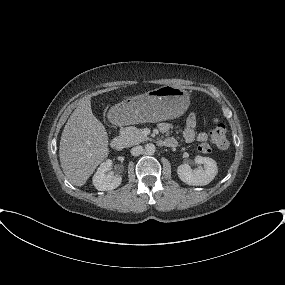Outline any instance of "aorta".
I'll return each mask as SVG.
<instances>
[{"mask_svg": "<svg viewBox=\"0 0 285 285\" xmlns=\"http://www.w3.org/2000/svg\"><path fill=\"white\" fill-rule=\"evenodd\" d=\"M155 151H156V147H155L154 144H152V143L146 144V146H145V152H146L148 155L154 154Z\"/></svg>", "mask_w": 285, "mask_h": 285, "instance_id": "aorta-1", "label": "aorta"}]
</instances>
